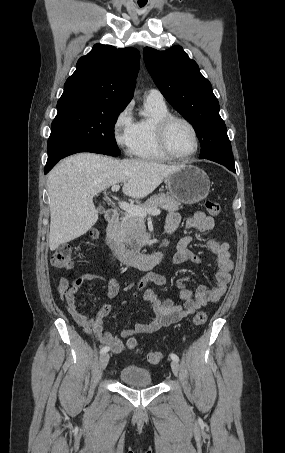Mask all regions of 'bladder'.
<instances>
[{
	"label": "bladder",
	"instance_id": "1",
	"mask_svg": "<svg viewBox=\"0 0 285 453\" xmlns=\"http://www.w3.org/2000/svg\"><path fill=\"white\" fill-rule=\"evenodd\" d=\"M119 378L124 384L133 387H147L153 384L150 371L134 364H129L121 368Z\"/></svg>",
	"mask_w": 285,
	"mask_h": 453
}]
</instances>
